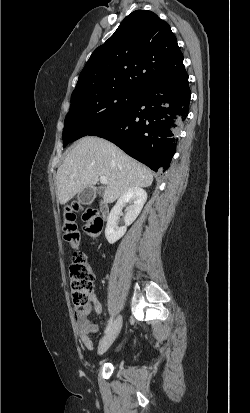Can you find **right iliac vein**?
<instances>
[{
    "label": "right iliac vein",
    "mask_w": 250,
    "mask_h": 413,
    "mask_svg": "<svg viewBox=\"0 0 250 413\" xmlns=\"http://www.w3.org/2000/svg\"><path fill=\"white\" fill-rule=\"evenodd\" d=\"M121 327H122V318L121 316H118L116 320L114 321L109 332L100 341L99 347H98V354L101 355L108 350V348L112 345V343L117 338L121 330Z\"/></svg>",
    "instance_id": "63e3f726"
}]
</instances>
